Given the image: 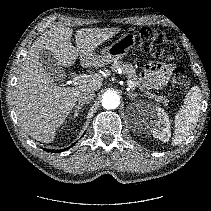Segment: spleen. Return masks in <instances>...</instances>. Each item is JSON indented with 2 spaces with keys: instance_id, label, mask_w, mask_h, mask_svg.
Returning a JSON list of instances; mask_svg holds the SVG:
<instances>
[{
  "instance_id": "obj_1",
  "label": "spleen",
  "mask_w": 211,
  "mask_h": 211,
  "mask_svg": "<svg viewBox=\"0 0 211 211\" xmlns=\"http://www.w3.org/2000/svg\"><path fill=\"white\" fill-rule=\"evenodd\" d=\"M202 94L200 88L193 86L187 93L182 108L175 116V130L172 145L181 144L195 129L200 110Z\"/></svg>"
}]
</instances>
